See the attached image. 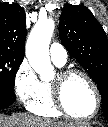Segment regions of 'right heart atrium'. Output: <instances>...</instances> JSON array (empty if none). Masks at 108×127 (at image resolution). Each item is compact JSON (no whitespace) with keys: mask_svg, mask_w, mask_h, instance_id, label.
Listing matches in <instances>:
<instances>
[{"mask_svg":"<svg viewBox=\"0 0 108 127\" xmlns=\"http://www.w3.org/2000/svg\"><path fill=\"white\" fill-rule=\"evenodd\" d=\"M40 87L41 82L35 71L28 61L24 60L14 76V89L17 98L21 103L29 106L38 96Z\"/></svg>","mask_w":108,"mask_h":127,"instance_id":"d8ad5b80","label":"right heart atrium"}]
</instances>
